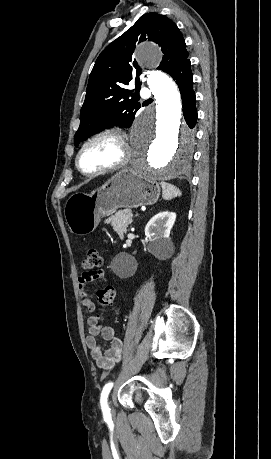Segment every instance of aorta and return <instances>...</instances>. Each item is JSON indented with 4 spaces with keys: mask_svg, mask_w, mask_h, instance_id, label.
Segmentation results:
<instances>
[{
    "mask_svg": "<svg viewBox=\"0 0 271 459\" xmlns=\"http://www.w3.org/2000/svg\"><path fill=\"white\" fill-rule=\"evenodd\" d=\"M137 58L156 66L162 59L160 48L143 42L136 48ZM147 83L155 106L138 118L131 140L134 171L149 180L171 179L184 172L194 152V133L182 121L180 93L174 81L157 70L147 72Z\"/></svg>",
    "mask_w": 271,
    "mask_h": 459,
    "instance_id": "obj_1",
    "label": "aorta"
}]
</instances>
